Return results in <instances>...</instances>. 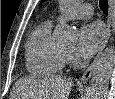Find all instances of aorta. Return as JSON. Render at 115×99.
Wrapping results in <instances>:
<instances>
[{"mask_svg": "<svg viewBox=\"0 0 115 99\" xmlns=\"http://www.w3.org/2000/svg\"><path fill=\"white\" fill-rule=\"evenodd\" d=\"M73 0H61L62 7H70ZM54 37L60 45H69L76 40V31L68 25H58L54 30ZM115 60L114 47L107 48L97 59L89 90V99H105L113 63Z\"/></svg>", "mask_w": 115, "mask_h": 99, "instance_id": "obj_1", "label": "aorta"}]
</instances>
